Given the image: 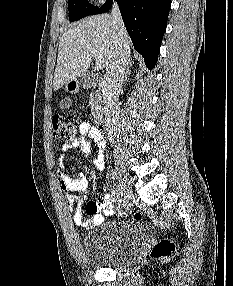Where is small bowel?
Returning a JSON list of instances; mask_svg holds the SVG:
<instances>
[{
    "instance_id": "c3829d8e",
    "label": "small bowel",
    "mask_w": 233,
    "mask_h": 286,
    "mask_svg": "<svg viewBox=\"0 0 233 286\" xmlns=\"http://www.w3.org/2000/svg\"><path fill=\"white\" fill-rule=\"evenodd\" d=\"M91 141L95 142L99 148L94 166L100 172L104 169L105 165L106 140L100 131L90 123H81L79 126V135L70 143H65L62 146V150L79 149L83 155L87 156L92 151ZM57 173L61 186L66 192L67 204L73 208L74 223L87 230L99 226L104 220V215L109 214L108 204L111 200V195L106 194L99 200L88 202L85 206V212L89 218H85L82 210L81 195L85 194L88 189L86 176L82 173L71 176L65 168L64 160L59 161Z\"/></svg>"
}]
</instances>
